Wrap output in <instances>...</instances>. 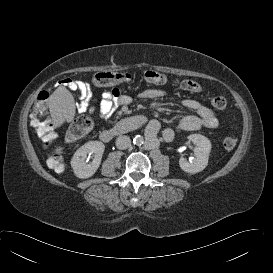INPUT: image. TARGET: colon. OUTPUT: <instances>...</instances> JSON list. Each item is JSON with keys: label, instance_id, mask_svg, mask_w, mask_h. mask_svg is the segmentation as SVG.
Masks as SVG:
<instances>
[{"label": "colon", "instance_id": "5ec220e1", "mask_svg": "<svg viewBox=\"0 0 273 273\" xmlns=\"http://www.w3.org/2000/svg\"><path fill=\"white\" fill-rule=\"evenodd\" d=\"M142 78L149 84L163 85L168 82V78L163 73L155 70H147ZM132 79L130 73L99 72L94 75L93 83L98 86H113L119 83L129 82ZM181 85L187 86L191 91H199L200 85L193 80H183ZM50 93L46 90L38 94L36 105L31 114V125L36 130L46 146H53L57 138V132L54 124L51 122L48 113V100ZM211 104L216 109L226 107V99L220 95H214L210 98ZM92 129V121L86 115L78 116L67 131V140L74 142L83 138ZM236 145V139L232 136H226L223 139V146L230 150ZM61 148L55 147L49 155L48 164L57 172L64 169Z\"/></svg>", "mask_w": 273, "mask_h": 273}]
</instances>
